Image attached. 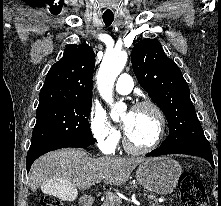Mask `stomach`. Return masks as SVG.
<instances>
[{"label":"stomach","instance_id":"stomach-1","mask_svg":"<svg viewBox=\"0 0 221 206\" xmlns=\"http://www.w3.org/2000/svg\"><path fill=\"white\" fill-rule=\"evenodd\" d=\"M182 168L178 162L168 157H155L140 163L136 177L145 189L168 194L177 186Z\"/></svg>","mask_w":221,"mask_h":206}]
</instances>
